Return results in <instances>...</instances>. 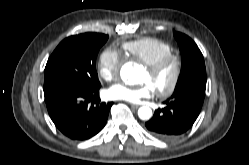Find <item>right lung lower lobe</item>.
Listing matches in <instances>:
<instances>
[{"mask_svg":"<svg viewBox=\"0 0 249 165\" xmlns=\"http://www.w3.org/2000/svg\"><path fill=\"white\" fill-rule=\"evenodd\" d=\"M99 88L44 82L48 113L65 136L73 140H87L104 128L113 103L100 102ZM89 102L96 105L89 106Z\"/></svg>","mask_w":249,"mask_h":165,"instance_id":"obj_1","label":"right lung lower lobe"}]
</instances>
